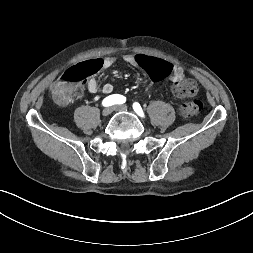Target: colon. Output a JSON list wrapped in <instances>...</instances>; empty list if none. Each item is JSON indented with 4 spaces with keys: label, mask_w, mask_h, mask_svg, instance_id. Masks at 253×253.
Instances as JSON below:
<instances>
[{
    "label": "colon",
    "mask_w": 253,
    "mask_h": 253,
    "mask_svg": "<svg viewBox=\"0 0 253 253\" xmlns=\"http://www.w3.org/2000/svg\"><path fill=\"white\" fill-rule=\"evenodd\" d=\"M135 62L140 65L143 71H147L152 80L158 81L167 77L171 73V65L160 60L153 55L146 56L138 54ZM101 68L99 60H89L67 69L62 77L53 85L52 94L54 99L61 103H67L71 98L72 87L88 77L97 73ZM196 82L187 77H182L174 85V92L181 97H189L196 93ZM203 108V103L199 99H193L180 106V114L185 118H192L198 115Z\"/></svg>",
    "instance_id": "obj_1"
}]
</instances>
